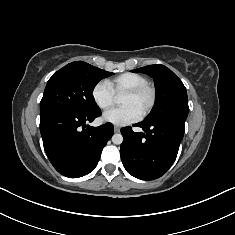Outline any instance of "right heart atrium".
I'll use <instances>...</instances> for the list:
<instances>
[{
  "mask_svg": "<svg viewBox=\"0 0 235 235\" xmlns=\"http://www.w3.org/2000/svg\"><path fill=\"white\" fill-rule=\"evenodd\" d=\"M94 103L102 110L110 108L115 100V93L110 87L108 81L97 82L91 91Z\"/></svg>",
  "mask_w": 235,
  "mask_h": 235,
  "instance_id": "right-heart-atrium-1",
  "label": "right heart atrium"
}]
</instances>
